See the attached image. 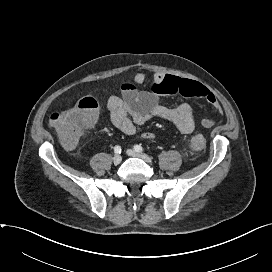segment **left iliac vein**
<instances>
[{
	"label": "left iliac vein",
	"mask_w": 272,
	"mask_h": 272,
	"mask_svg": "<svg viewBox=\"0 0 272 272\" xmlns=\"http://www.w3.org/2000/svg\"><path fill=\"white\" fill-rule=\"evenodd\" d=\"M126 153H127L129 156H131V157L140 158V159L144 160V161L147 162V163H151V162H152V160H151V158H150L149 156H147V155H145V154H141V153H139V152H137V151H135V150L128 149V150L126 151Z\"/></svg>",
	"instance_id": "left-iliac-vein-1"
}]
</instances>
